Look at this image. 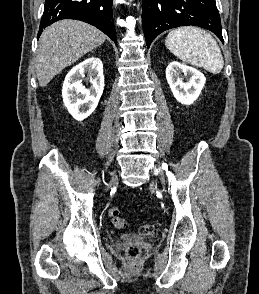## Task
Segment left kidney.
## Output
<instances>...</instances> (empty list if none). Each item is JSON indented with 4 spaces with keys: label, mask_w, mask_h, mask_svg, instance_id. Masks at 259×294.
I'll return each instance as SVG.
<instances>
[{
    "label": "left kidney",
    "mask_w": 259,
    "mask_h": 294,
    "mask_svg": "<svg viewBox=\"0 0 259 294\" xmlns=\"http://www.w3.org/2000/svg\"><path fill=\"white\" fill-rule=\"evenodd\" d=\"M182 73L186 76V82L181 77ZM166 79L176 100L184 105H191L198 98L206 82L199 70L177 61L167 66Z\"/></svg>",
    "instance_id": "left-kidney-1"
}]
</instances>
